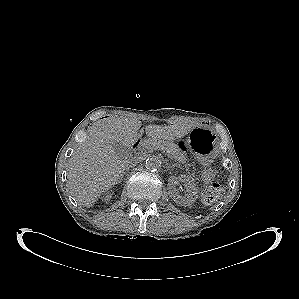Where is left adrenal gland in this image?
Here are the masks:
<instances>
[{
	"label": "left adrenal gland",
	"instance_id": "1",
	"mask_svg": "<svg viewBox=\"0 0 299 299\" xmlns=\"http://www.w3.org/2000/svg\"><path fill=\"white\" fill-rule=\"evenodd\" d=\"M174 167H175V165H170L169 164L167 168L170 169V168H174Z\"/></svg>",
	"mask_w": 299,
	"mask_h": 299
}]
</instances>
